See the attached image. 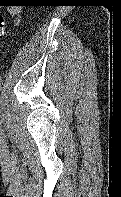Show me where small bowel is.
<instances>
[{
	"instance_id": "c3829d8e",
	"label": "small bowel",
	"mask_w": 121,
	"mask_h": 197,
	"mask_svg": "<svg viewBox=\"0 0 121 197\" xmlns=\"http://www.w3.org/2000/svg\"><path fill=\"white\" fill-rule=\"evenodd\" d=\"M10 13L13 14V15H17L18 14V9L17 8H11Z\"/></svg>"
}]
</instances>
